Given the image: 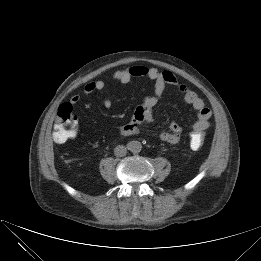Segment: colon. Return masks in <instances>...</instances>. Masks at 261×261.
<instances>
[{
    "label": "colon",
    "instance_id": "1",
    "mask_svg": "<svg viewBox=\"0 0 261 261\" xmlns=\"http://www.w3.org/2000/svg\"><path fill=\"white\" fill-rule=\"evenodd\" d=\"M77 132V120L73 114L72 106L68 103L62 104L57 112L54 127L53 139L63 143L75 136ZM205 141L204 131L193 132L189 138L190 147L193 150L200 149Z\"/></svg>",
    "mask_w": 261,
    "mask_h": 261
}]
</instances>
